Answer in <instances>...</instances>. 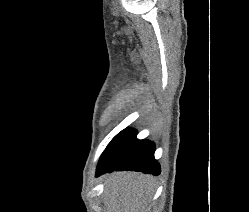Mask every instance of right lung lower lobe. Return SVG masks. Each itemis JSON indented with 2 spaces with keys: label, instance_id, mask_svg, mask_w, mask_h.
<instances>
[{
  "label": "right lung lower lobe",
  "instance_id": "obj_1",
  "mask_svg": "<svg viewBox=\"0 0 249 212\" xmlns=\"http://www.w3.org/2000/svg\"><path fill=\"white\" fill-rule=\"evenodd\" d=\"M136 134L133 129H125L112 139L98 162L96 176L114 170L160 174V165L154 159L155 145L138 140Z\"/></svg>",
  "mask_w": 249,
  "mask_h": 212
}]
</instances>
